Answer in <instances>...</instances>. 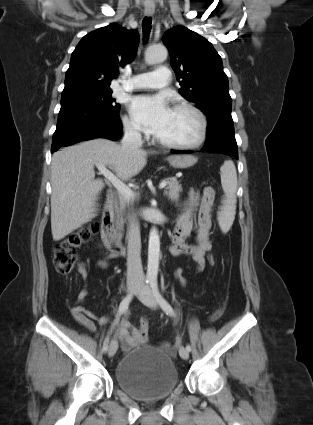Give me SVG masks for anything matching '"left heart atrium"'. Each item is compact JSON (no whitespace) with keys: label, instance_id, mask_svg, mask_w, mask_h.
<instances>
[{"label":"left heart atrium","instance_id":"1","mask_svg":"<svg viewBox=\"0 0 313 425\" xmlns=\"http://www.w3.org/2000/svg\"><path fill=\"white\" fill-rule=\"evenodd\" d=\"M165 97L138 96L132 100L131 113L138 126L145 132L159 134L165 127L170 114Z\"/></svg>","mask_w":313,"mask_h":425}]
</instances>
